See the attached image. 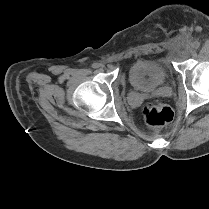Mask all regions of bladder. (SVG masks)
I'll return each instance as SVG.
<instances>
[{
    "label": "bladder",
    "mask_w": 209,
    "mask_h": 209,
    "mask_svg": "<svg viewBox=\"0 0 209 209\" xmlns=\"http://www.w3.org/2000/svg\"><path fill=\"white\" fill-rule=\"evenodd\" d=\"M167 78L166 66L157 58L137 60L128 69L131 86L142 92H154L166 82Z\"/></svg>",
    "instance_id": "31cf9c89"
}]
</instances>
